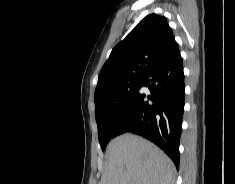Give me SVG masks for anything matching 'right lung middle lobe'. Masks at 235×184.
Listing matches in <instances>:
<instances>
[{"mask_svg": "<svg viewBox=\"0 0 235 184\" xmlns=\"http://www.w3.org/2000/svg\"><path fill=\"white\" fill-rule=\"evenodd\" d=\"M143 80L117 86L108 90L106 105L96 107V122L98 126L99 142L105 150L111 138L116 137V129L130 103L142 87Z\"/></svg>", "mask_w": 235, "mask_h": 184, "instance_id": "dd1d6c3e", "label": "right lung middle lobe"}]
</instances>
